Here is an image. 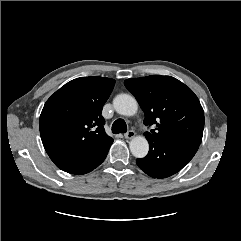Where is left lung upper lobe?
Listing matches in <instances>:
<instances>
[{
  "mask_svg": "<svg viewBox=\"0 0 241 241\" xmlns=\"http://www.w3.org/2000/svg\"><path fill=\"white\" fill-rule=\"evenodd\" d=\"M126 88L145 113L144 123L156 126L146 137L200 145L203 108L192 90L171 76L151 75L127 79Z\"/></svg>",
  "mask_w": 241,
  "mask_h": 241,
  "instance_id": "left-lung-upper-lobe-1",
  "label": "left lung upper lobe"
}]
</instances>
